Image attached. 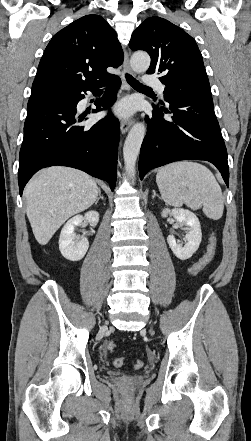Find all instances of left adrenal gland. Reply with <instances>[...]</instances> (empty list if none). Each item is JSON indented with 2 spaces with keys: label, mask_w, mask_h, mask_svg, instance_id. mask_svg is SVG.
I'll return each mask as SVG.
<instances>
[{
  "label": "left adrenal gland",
  "mask_w": 251,
  "mask_h": 441,
  "mask_svg": "<svg viewBox=\"0 0 251 441\" xmlns=\"http://www.w3.org/2000/svg\"><path fill=\"white\" fill-rule=\"evenodd\" d=\"M155 196H157L158 198H160L157 194H156V191L155 190H153V195H152V198H155Z\"/></svg>",
  "instance_id": "left-adrenal-gland-1"
}]
</instances>
